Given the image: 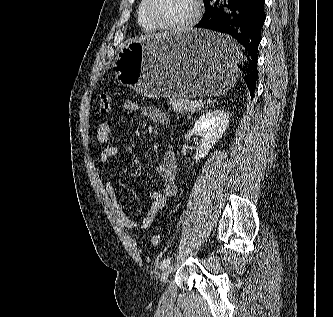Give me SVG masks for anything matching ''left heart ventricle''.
<instances>
[{
	"label": "left heart ventricle",
	"instance_id": "left-heart-ventricle-1",
	"mask_svg": "<svg viewBox=\"0 0 333 317\" xmlns=\"http://www.w3.org/2000/svg\"><path fill=\"white\" fill-rule=\"evenodd\" d=\"M150 10L157 21L178 25L190 17L192 2L191 0H152Z\"/></svg>",
	"mask_w": 333,
	"mask_h": 317
}]
</instances>
